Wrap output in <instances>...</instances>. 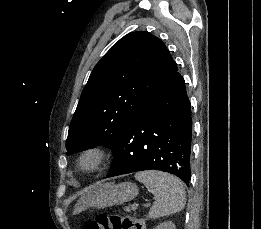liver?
Masks as SVG:
<instances>
[{"label":"liver","mask_w":261,"mask_h":229,"mask_svg":"<svg viewBox=\"0 0 261 229\" xmlns=\"http://www.w3.org/2000/svg\"><path fill=\"white\" fill-rule=\"evenodd\" d=\"M82 201H86V197H85V195H84V197H82Z\"/></svg>","instance_id":"1"}]
</instances>
